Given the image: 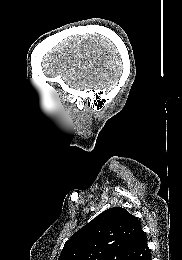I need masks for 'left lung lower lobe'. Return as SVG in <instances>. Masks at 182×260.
Listing matches in <instances>:
<instances>
[{
  "instance_id": "0a47b994",
  "label": "left lung lower lobe",
  "mask_w": 182,
  "mask_h": 260,
  "mask_svg": "<svg viewBox=\"0 0 182 260\" xmlns=\"http://www.w3.org/2000/svg\"><path fill=\"white\" fill-rule=\"evenodd\" d=\"M121 260H151L150 249L142 229L133 238Z\"/></svg>"
}]
</instances>
